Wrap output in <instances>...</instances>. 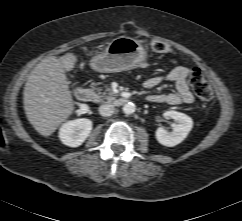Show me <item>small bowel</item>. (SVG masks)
Returning a JSON list of instances; mask_svg holds the SVG:
<instances>
[{
  "label": "small bowel",
  "instance_id": "obj_1",
  "mask_svg": "<svg viewBox=\"0 0 242 221\" xmlns=\"http://www.w3.org/2000/svg\"><path fill=\"white\" fill-rule=\"evenodd\" d=\"M172 69L163 76H154L144 82L146 89H152L163 81H170L174 84L176 92L163 94H149L147 100L153 103H166L169 105L191 104L194 96L189 89L187 78L190 75V69L172 61Z\"/></svg>",
  "mask_w": 242,
  "mask_h": 221
}]
</instances>
